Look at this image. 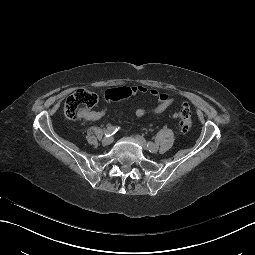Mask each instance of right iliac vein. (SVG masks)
I'll return each instance as SVG.
<instances>
[{
	"mask_svg": "<svg viewBox=\"0 0 255 255\" xmlns=\"http://www.w3.org/2000/svg\"><path fill=\"white\" fill-rule=\"evenodd\" d=\"M113 142V137H105L103 140H102V144L103 145H109Z\"/></svg>",
	"mask_w": 255,
	"mask_h": 255,
	"instance_id": "1",
	"label": "right iliac vein"
}]
</instances>
